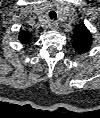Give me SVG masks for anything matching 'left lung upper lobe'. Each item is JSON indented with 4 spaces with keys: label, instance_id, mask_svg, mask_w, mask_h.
Masks as SVG:
<instances>
[{
    "label": "left lung upper lobe",
    "instance_id": "left-lung-upper-lobe-1",
    "mask_svg": "<svg viewBox=\"0 0 100 118\" xmlns=\"http://www.w3.org/2000/svg\"><path fill=\"white\" fill-rule=\"evenodd\" d=\"M75 35L73 39V47L79 53L87 52L92 44V36L91 33L87 30L86 26L81 23L74 28Z\"/></svg>",
    "mask_w": 100,
    "mask_h": 118
}]
</instances>
